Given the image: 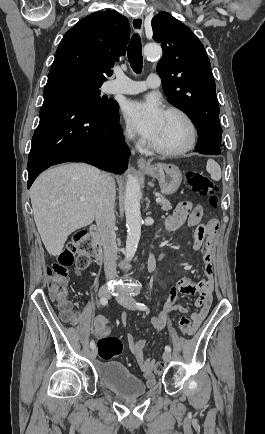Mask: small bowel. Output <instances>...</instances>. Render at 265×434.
<instances>
[{
    "mask_svg": "<svg viewBox=\"0 0 265 434\" xmlns=\"http://www.w3.org/2000/svg\"><path fill=\"white\" fill-rule=\"evenodd\" d=\"M203 218V209L201 206L193 207L190 202L184 201L177 205L173 214H171L165 221L163 234L176 232L181 226L187 223L189 226H197L193 247L199 250L202 243L205 242L206 249L202 252L201 260L203 262V273L200 280H192L190 278H182L176 282L169 289L168 297L164 303L161 311L156 315L153 313V327L159 332L166 324L167 314L171 311H176L183 314H189L191 320L190 333L193 335L201 326L202 322L209 313L212 301V291L214 285L213 265H212V251L213 241L218 228V222L214 219ZM206 227H212L214 230L206 236H201L200 232ZM180 295H197L195 306L199 308L197 312H190L187 306L177 304V299ZM128 313H123L121 322L125 326L127 323ZM74 323L82 327L89 324V319L81 314H76L73 318ZM107 319L104 315H97L93 323V334L95 337H103L107 334ZM127 342L132 353L136 356L138 364L140 365L148 386L155 383V377L152 372L154 360L145 358L143 350L146 346L144 339H136L133 335L127 336Z\"/></svg>",
    "mask_w": 265,
    "mask_h": 434,
    "instance_id": "obj_1",
    "label": "small bowel"
}]
</instances>
